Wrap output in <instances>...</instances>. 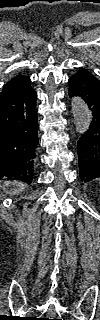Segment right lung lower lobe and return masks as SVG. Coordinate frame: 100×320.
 I'll list each match as a JSON object with an SVG mask.
<instances>
[{
    "mask_svg": "<svg viewBox=\"0 0 100 320\" xmlns=\"http://www.w3.org/2000/svg\"><path fill=\"white\" fill-rule=\"evenodd\" d=\"M36 92L0 99V175L30 183L36 164Z\"/></svg>",
    "mask_w": 100,
    "mask_h": 320,
    "instance_id": "1",
    "label": "right lung lower lobe"
}]
</instances>
